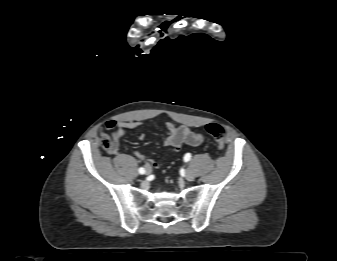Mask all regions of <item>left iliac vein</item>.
<instances>
[{
	"label": "left iliac vein",
	"instance_id": "4c4485c4",
	"mask_svg": "<svg viewBox=\"0 0 337 261\" xmlns=\"http://www.w3.org/2000/svg\"><path fill=\"white\" fill-rule=\"evenodd\" d=\"M185 178L188 181H193L195 178V174L192 169L188 168L185 173Z\"/></svg>",
	"mask_w": 337,
	"mask_h": 261
}]
</instances>
